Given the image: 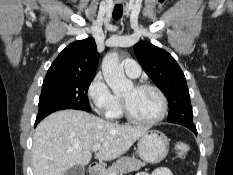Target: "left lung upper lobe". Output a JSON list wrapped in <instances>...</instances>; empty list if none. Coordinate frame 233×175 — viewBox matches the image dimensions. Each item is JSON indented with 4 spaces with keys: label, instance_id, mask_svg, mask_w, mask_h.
Segmentation results:
<instances>
[{
    "label": "left lung upper lobe",
    "instance_id": "left-lung-upper-lobe-1",
    "mask_svg": "<svg viewBox=\"0 0 233 175\" xmlns=\"http://www.w3.org/2000/svg\"><path fill=\"white\" fill-rule=\"evenodd\" d=\"M134 51L147 75L168 99V122L194 124L186 78L175 59L165 50L144 41L135 44Z\"/></svg>",
    "mask_w": 233,
    "mask_h": 175
}]
</instances>
